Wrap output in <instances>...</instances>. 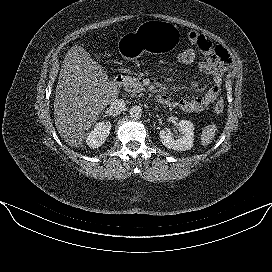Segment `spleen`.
I'll return each instance as SVG.
<instances>
[{
    "instance_id": "spleen-1",
    "label": "spleen",
    "mask_w": 272,
    "mask_h": 272,
    "mask_svg": "<svg viewBox=\"0 0 272 272\" xmlns=\"http://www.w3.org/2000/svg\"><path fill=\"white\" fill-rule=\"evenodd\" d=\"M217 127L216 125H208L202 130L201 134V145L206 147L209 144L212 143L215 133H216Z\"/></svg>"
}]
</instances>
